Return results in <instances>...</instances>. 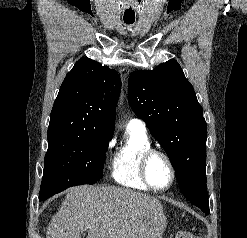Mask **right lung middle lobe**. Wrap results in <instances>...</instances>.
Instances as JSON below:
<instances>
[{
  "label": "right lung middle lobe",
  "instance_id": "dd1d6c3e",
  "mask_svg": "<svg viewBox=\"0 0 247 238\" xmlns=\"http://www.w3.org/2000/svg\"><path fill=\"white\" fill-rule=\"evenodd\" d=\"M111 138L94 130L48 135L39 200H46L70 186L98 181Z\"/></svg>",
  "mask_w": 247,
  "mask_h": 238
}]
</instances>
